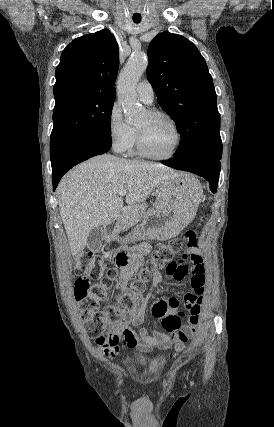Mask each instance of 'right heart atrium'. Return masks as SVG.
Returning <instances> with one entry per match:
<instances>
[{
    "label": "right heart atrium",
    "mask_w": 274,
    "mask_h": 427,
    "mask_svg": "<svg viewBox=\"0 0 274 427\" xmlns=\"http://www.w3.org/2000/svg\"><path fill=\"white\" fill-rule=\"evenodd\" d=\"M107 133L112 149L116 152H126L134 144L135 130L125 122L117 104L108 113Z\"/></svg>",
    "instance_id": "d8ad5b80"
}]
</instances>
